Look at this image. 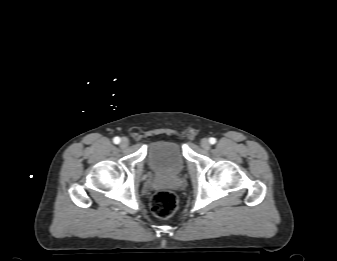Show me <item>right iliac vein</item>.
Here are the masks:
<instances>
[{
	"instance_id": "obj_1",
	"label": "right iliac vein",
	"mask_w": 337,
	"mask_h": 261,
	"mask_svg": "<svg viewBox=\"0 0 337 261\" xmlns=\"http://www.w3.org/2000/svg\"><path fill=\"white\" fill-rule=\"evenodd\" d=\"M129 145V140L127 138H122L120 142V147L121 148H127Z\"/></svg>"
}]
</instances>
